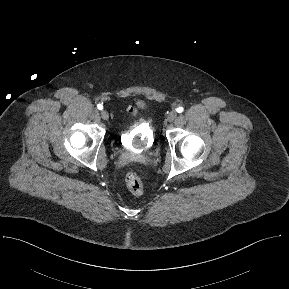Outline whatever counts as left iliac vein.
I'll use <instances>...</instances> for the list:
<instances>
[{
	"mask_svg": "<svg viewBox=\"0 0 289 289\" xmlns=\"http://www.w3.org/2000/svg\"><path fill=\"white\" fill-rule=\"evenodd\" d=\"M176 117H177V113H176V111H171L170 112V114L168 115V121H173V120H175L176 119Z\"/></svg>",
	"mask_w": 289,
	"mask_h": 289,
	"instance_id": "1",
	"label": "left iliac vein"
}]
</instances>
